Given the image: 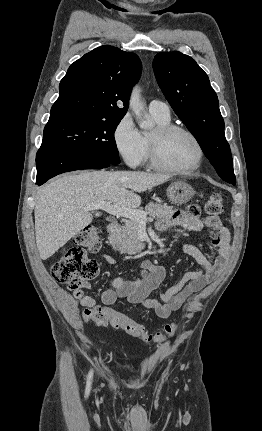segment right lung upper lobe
Returning <instances> with one entry per match:
<instances>
[{"label": "right lung upper lobe", "instance_id": "obj_1", "mask_svg": "<svg viewBox=\"0 0 262 431\" xmlns=\"http://www.w3.org/2000/svg\"><path fill=\"white\" fill-rule=\"evenodd\" d=\"M142 64L132 52L104 45L85 54L68 69L47 125L79 119L123 118Z\"/></svg>", "mask_w": 262, "mask_h": 431}]
</instances>
